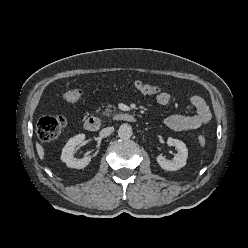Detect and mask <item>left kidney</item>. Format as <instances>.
<instances>
[{"label":"left kidney","mask_w":248,"mask_h":248,"mask_svg":"<svg viewBox=\"0 0 248 248\" xmlns=\"http://www.w3.org/2000/svg\"><path fill=\"white\" fill-rule=\"evenodd\" d=\"M167 144L169 146H175L178 152L174 155L172 160H167L164 156L159 155L157 157L158 164L162 169L167 171H176L181 169L186 165V160L188 158V150L185 143L178 139L169 137L167 139Z\"/></svg>","instance_id":"1"}]
</instances>
